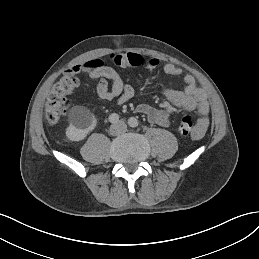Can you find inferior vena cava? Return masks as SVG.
<instances>
[{
	"label": "inferior vena cava",
	"instance_id": "inferior-vena-cava-1",
	"mask_svg": "<svg viewBox=\"0 0 259 259\" xmlns=\"http://www.w3.org/2000/svg\"><path fill=\"white\" fill-rule=\"evenodd\" d=\"M111 134L119 135L125 133L127 130V125L124 122H118L116 124H112L110 127Z\"/></svg>",
	"mask_w": 259,
	"mask_h": 259
}]
</instances>
